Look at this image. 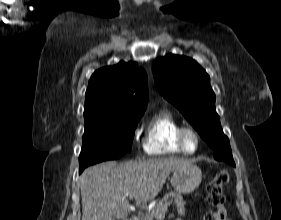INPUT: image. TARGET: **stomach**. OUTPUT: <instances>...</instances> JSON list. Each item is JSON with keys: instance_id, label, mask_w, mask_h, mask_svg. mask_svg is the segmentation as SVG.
Returning a JSON list of instances; mask_svg holds the SVG:
<instances>
[{"instance_id": "1", "label": "stomach", "mask_w": 281, "mask_h": 220, "mask_svg": "<svg viewBox=\"0 0 281 220\" xmlns=\"http://www.w3.org/2000/svg\"><path fill=\"white\" fill-rule=\"evenodd\" d=\"M202 181V172L196 165L176 169L171 177V184L178 193L193 192Z\"/></svg>"}]
</instances>
